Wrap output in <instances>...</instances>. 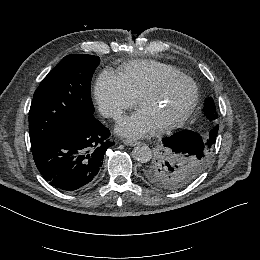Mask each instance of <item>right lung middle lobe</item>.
I'll use <instances>...</instances> for the list:
<instances>
[{"instance_id": "1", "label": "right lung middle lobe", "mask_w": 260, "mask_h": 260, "mask_svg": "<svg viewBox=\"0 0 260 260\" xmlns=\"http://www.w3.org/2000/svg\"><path fill=\"white\" fill-rule=\"evenodd\" d=\"M99 61L94 55H68L44 78L29 112L32 147L93 116L90 85Z\"/></svg>"}]
</instances>
